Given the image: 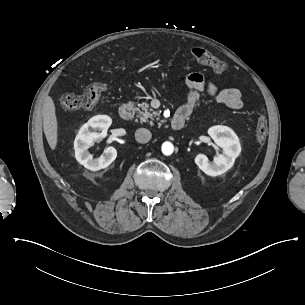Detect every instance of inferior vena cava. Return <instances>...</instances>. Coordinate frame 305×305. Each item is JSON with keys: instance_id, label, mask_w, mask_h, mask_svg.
<instances>
[{"instance_id": "602c4592", "label": "inferior vena cava", "mask_w": 305, "mask_h": 305, "mask_svg": "<svg viewBox=\"0 0 305 305\" xmlns=\"http://www.w3.org/2000/svg\"><path fill=\"white\" fill-rule=\"evenodd\" d=\"M151 132L146 128H139L135 132V138L139 143H147L151 139Z\"/></svg>"}]
</instances>
